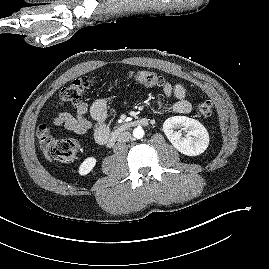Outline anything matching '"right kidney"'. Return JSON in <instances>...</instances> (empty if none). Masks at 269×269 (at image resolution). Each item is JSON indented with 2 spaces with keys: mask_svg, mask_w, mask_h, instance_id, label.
I'll list each match as a JSON object with an SVG mask.
<instances>
[{
  "mask_svg": "<svg viewBox=\"0 0 269 269\" xmlns=\"http://www.w3.org/2000/svg\"><path fill=\"white\" fill-rule=\"evenodd\" d=\"M96 165V159L94 157L86 158L79 167V173L81 175H87Z\"/></svg>",
  "mask_w": 269,
  "mask_h": 269,
  "instance_id": "obj_1",
  "label": "right kidney"
}]
</instances>
